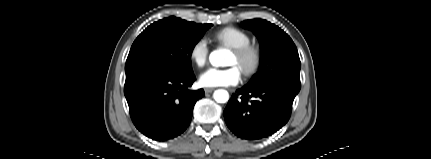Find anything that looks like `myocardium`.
<instances>
[{
	"instance_id": "f54148a6",
	"label": "myocardium",
	"mask_w": 431,
	"mask_h": 159,
	"mask_svg": "<svg viewBox=\"0 0 431 159\" xmlns=\"http://www.w3.org/2000/svg\"><path fill=\"white\" fill-rule=\"evenodd\" d=\"M232 53L237 58L239 68L245 76L250 77L258 71L262 60V53L258 46L247 44L232 49Z\"/></svg>"
}]
</instances>
